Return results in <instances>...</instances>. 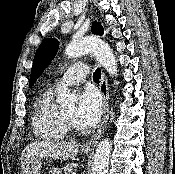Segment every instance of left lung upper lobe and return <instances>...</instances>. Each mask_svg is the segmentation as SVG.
Returning <instances> with one entry per match:
<instances>
[{"instance_id":"1","label":"left lung upper lobe","mask_w":175,"mask_h":174,"mask_svg":"<svg viewBox=\"0 0 175 174\" xmlns=\"http://www.w3.org/2000/svg\"><path fill=\"white\" fill-rule=\"evenodd\" d=\"M92 32L98 35L103 34V27L100 23L94 22L92 26ZM59 47V43L56 39L50 38L46 39L39 47L34 57L31 77H30V87L35 83L36 78L43 72L45 67L55 56Z\"/></svg>"}]
</instances>
